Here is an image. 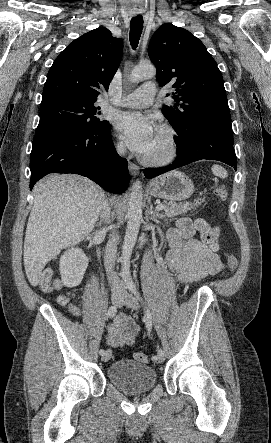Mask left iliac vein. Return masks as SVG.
Returning a JSON list of instances; mask_svg holds the SVG:
<instances>
[{"instance_id": "1", "label": "left iliac vein", "mask_w": 271, "mask_h": 443, "mask_svg": "<svg viewBox=\"0 0 271 443\" xmlns=\"http://www.w3.org/2000/svg\"><path fill=\"white\" fill-rule=\"evenodd\" d=\"M121 302L123 305H125L126 307H128L132 310H138L140 307L136 298L129 293L123 294V298H122ZM157 356H158L159 363H163L165 360V353H164L163 349L158 348Z\"/></svg>"}]
</instances>
